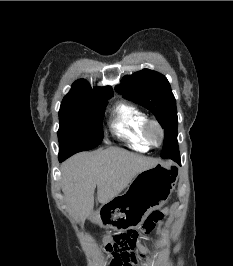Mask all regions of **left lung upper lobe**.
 Wrapping results in <instances>:
<instances>
[{
    "label": "left lung upper lobe",
    "mask_w": 233,
    "mask_h": 266,
    "mask_svg": "<svg viewBox=\"0 0 233 266\" xmlns=\"http://www.w3.org/2000/svg\"><path fill=\"white\" fill-rule=\"evenodd\" d=\"M116 91L137 104L151 111L165 131L162 158H168L176 149L177 109L176 100L167 78L150 69H143L130 76H125Z\"/></svg>",
    "instance_id": "5c2ea615"
}]
</instances>
